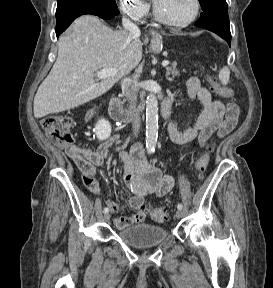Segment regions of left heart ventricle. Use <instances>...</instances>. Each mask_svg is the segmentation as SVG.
<instances>
[{"instance_id": "b2bd125f", "label": "left heart ventricle", "mask_w": 273, "mask_h": 288, "mask_svg": "<svg viewBox=\"0 0 273 288\" xmlns=\"http://www.w3.org/2000/svg\"><path fill=\"white\" fill-rule=\"evenodd\" d=\"M159 13L172 21L188 19L194 12V0H154Z\"/></svg>"}]
</instances>
